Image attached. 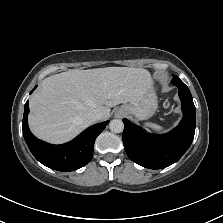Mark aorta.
<instances>
[{
  "instance_id": "obj_1",
  "label": "aorta",
  "mask_w": 223,
  "mask_h": 223,
  "mask_svg": "<svg viewBox=\"0 0 223 223\" xmlns=\"http://www.w3.org/2000/svg\"><path fill=\"white\" fill-rule=\"evenodd\" d=\"M109 128L114 133H120L124 129V124H123L122 120L114 119L110 122Z\"/></svg>"
}]
</instances>
